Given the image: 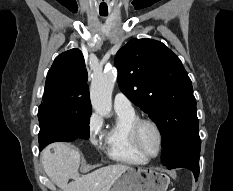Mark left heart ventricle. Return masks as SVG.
Listing matches in <instances>:
<instances>
[{
	"mask_svg": "<svg viewBox=\"0 0 233 191\" xmlns=\"http://www.w3.org/2000/svg\"><path fill=\"white\" fill-rule=\"evenodd\" d=\"M139 141L143 151L147 155H154L158 148V137L154 128L150 125H143L139 133Z\"/></svg>",
	"mask_w": 233,
	"mask_h": 191,
	"instance_id": "b2bd125f",
	"label": "left heart ventricle"
}]
</instances>
